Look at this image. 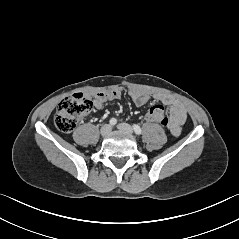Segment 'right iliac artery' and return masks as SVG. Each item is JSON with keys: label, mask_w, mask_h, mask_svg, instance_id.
<instances>
[{"label": "right iliac artery", "mask_w": 239, "mask_h": 239, "mask_svg": "<svg viewBox=\"0 0 239 239\" xmlns=\"http://www.w3.org/2000/svg\"><path fill=\"white\" fill-rule=\"evenodd\" d=\"M109 122L111 125H115L117 123V120L115 118H111Z\"/></svg>", "instance_id": "obj_1"}]
</instances>
